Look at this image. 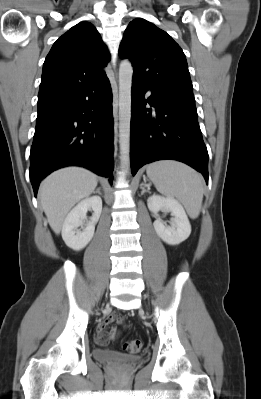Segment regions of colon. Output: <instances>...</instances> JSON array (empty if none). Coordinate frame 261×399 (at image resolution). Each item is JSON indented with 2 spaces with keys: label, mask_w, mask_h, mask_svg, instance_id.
Wrapping results in <instances>:
<instances>
[{
  "label": "colon",
  "mask_w": 261,
  "mask_h": 399,
  "mask_svg": "<svg viewBox=\"0 0 261 399\" xmlns=\"http://www.w3.org/2000/svg\"><path fill=\"white\" fill-rule=\"evenodd\" d=\"M124 349L131 354H137L143 349L141 340L135 339L125 342Z\"/></svg>",
  "instance_id": "5ec220e1"
}]
</instances>
